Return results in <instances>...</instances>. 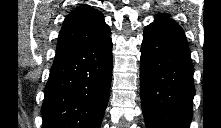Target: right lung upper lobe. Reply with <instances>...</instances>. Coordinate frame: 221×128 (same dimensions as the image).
Here are the masks:
<instances>
[{"mask_svg": "<svg viewBox=\"0 0 221 128\" xmlns=\"http://www.w3.org/2000/svg\"><path fill=\"white\" fill-rule=\"evenodd\" d=\"M110 34V28L105 23L103 14L84 4L65 18L56 51L98 45Z\"/></svg>", "mask_w": 221, "mask_h": 128, "instance_id": "1", "label": "right lung upper lobe"}]
</instances>
